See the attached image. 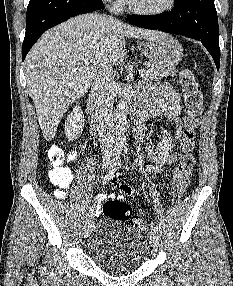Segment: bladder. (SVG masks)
Returning a JSON list of instances; mask_svg holds the SVG:
<instances>
[{"label":"bladder","instance_id":"1","mask_svg":"<svg viewBox=\"0 0 233 286\" xmlns=\"http://www.w3.org/2000/svg\"><path fill=\"white\" fill-rule=\"evenodd\" d=\"M94 264L106 272H132L147 260L150 248L144 236L122 221L108 220L89 243Z\"/></svg>","mask_w":233,"mask_h":286}]
</instances>
